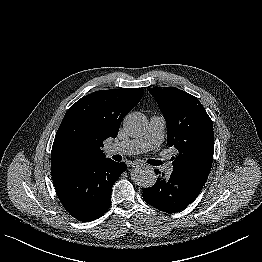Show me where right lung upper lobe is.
Returning <instances> with one entry per match:
<instances>
[{"instance_id": "1", "label": "right lung upper lobe", "mask_w": 262, "mask_h": 262, "mask_svg": "<svg viewBox=\"0 0 262 262\" xmlns=\"http://www.w3.org/2000/svg\"><path fill=\"white\" fill-rule=\"evenodd\" d=\"M143 96L142 88L96 91L79 99L65 114L51 152V169L101 161L103 141L115 138L123 117Z\"/></svg>"}]
</instances>
